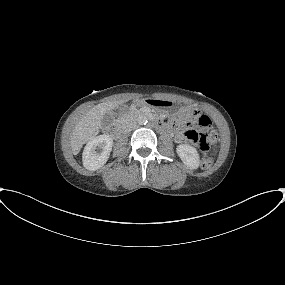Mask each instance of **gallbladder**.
I'll use <instances>...</instances> for the list:
<instances>
[{"mask_svg": "<svg viewBox=\"0 0 285 285\" xmlns=\"http://www.w3.org/2000/svg\"><path fill=\"white\" fill-rule=\"evenodd\" d=\"M114 121V114L111 111L105 113L102 119L104 125H109Z\"/></svg>", "mask_w": 285, "mask_h": 285, "instance_id": "obj_1", "label": "gallbladder"}]
</instances>
